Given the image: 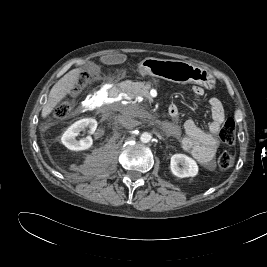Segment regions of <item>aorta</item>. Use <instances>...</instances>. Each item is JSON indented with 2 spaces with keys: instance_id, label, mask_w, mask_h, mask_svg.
<instances>
[{
  "instance_id": "aorta-1",
  "label": "aorta",
  "mask_w": 267,
  "mask_h": 267,
  "mask_svg": "<svg viewBox=\"0 0 267 267\" xmlns=\"http://www.w3.org/2000/svg\"><path fill=\"white\" fill-rule=\"evenodd\" d=\"M151 139H152V135L148 132H143L140 136V140L143 143H148L151 141Z\"/></svg>"
}]
</instances>
